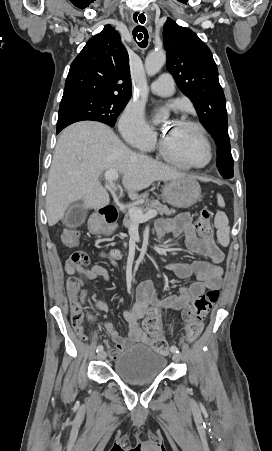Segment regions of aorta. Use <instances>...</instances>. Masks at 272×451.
<instances>
[{
	"label": "aorta",
	"mask_w": 272,
	"mask_h": 451,
	"mask_svg": "<svg viewBox=\"0 0 272 451\" xmlns=\"http://www.w3.org/2000/svg\"><path fill=\"white\" fill-rule=\"evenodd\" d=\"M165 62L166 54L163 50L162 52H151L145 60V70L148 76H155V74H158Z\"/></svg>",
	"instance_id": "aorta-1"
}]
</instances>
